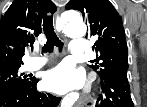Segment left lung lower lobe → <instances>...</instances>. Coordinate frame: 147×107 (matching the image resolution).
Returning <instances> with one entry per match:
<instances>
[{
  "instance_id": "left-lung-lower-lobe-1",
  "label": "left lung lower lobe",
  "mask_w": 147,
  "mask_h": 107,
  "mask_svg": "<svg viewBox=\"0 0 147 107\" xmlns=\"http://www.w3.org/2000/svg\"><path fill=\"white\" fill-rule=\"evenodd\" d=\"M103 94L95 107H134L127 70L120 69L101 77Z\"/></svg>"
}]
</instances>
